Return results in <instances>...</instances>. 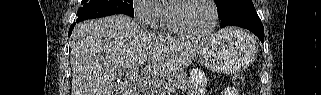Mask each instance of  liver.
Listing matches in <instances>:
<instances>
[{"instance_id": "liver-1", "label": "liver", "mask_w": 321, "mask_h": 95, "mask_svg": "<svg viewBox=\"0 0 321 95\" xmlns=\"http://www.w3.org/2000/svg\"><path fill=\"white\" fill-rule=\"evenodd\" d=\"M207 41L156 35L125 15L81 22L70 42L72 95H124L122 80L139 68L149 77L179 71Z\"/></svg>"}]
</instances>
